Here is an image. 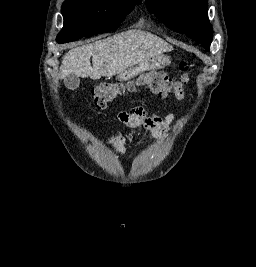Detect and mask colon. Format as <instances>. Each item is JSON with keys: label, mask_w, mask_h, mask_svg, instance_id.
Listing matches in <instances>:
<instances>
[{"label": "colon", "mask_w": 256, "mask_h": 267, "mask_svg": "<svg viewBox=\"0 0 256 267\" xmlns=\"http://www.w3.org/2000/svg\"><path fill=\"white\" fill-rule=\"evenodd\" d=\"M179 69L183 75L177 81H173L161 71L154 70V73L137 74L136 77H131V81L102 83L92 92L93 106L103 109L117 98L135 93L140 87H148L159 96H169L173 93L181 99L183 97L182 85L189 80L193 66L189 62H181Z\"/></svg>", "instance_id": "obj_1"}]
</instances>
